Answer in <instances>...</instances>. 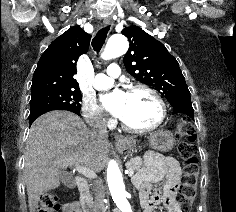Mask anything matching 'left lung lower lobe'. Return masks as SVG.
<instances>
[{"instance_id": "0a47b994", "label": "left lung lower lobe", "mask_w": 236, "mask_h": 212, "mask_svg": "<svg viewBox=\"0 0 236 212\" xmlns=\"http://www.w3.org/2000/svg\"><path fill=\"white\" fill-rule=\"evenodd\" d=\"M170 104L174 109L173 111L174 114H177V113L186 114L194 120V116H193L194 111L192 108L190 98H186V97L178 98Z\"/></svg>"}]
</instances>
